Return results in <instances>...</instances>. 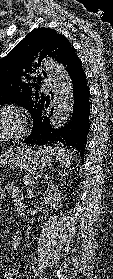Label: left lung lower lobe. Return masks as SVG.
<instances>
[{
  "instance_id": "0a47b994",
  "label": "left lung lower lobe",
  "mask_w": 113,
  "mask_h": 279,
  "mask_svg": "<svg viewBox=\"0 0 113 279\" xmlns=\"http://www.w3.org/2000/svg\"><path fill=\"white\" fill-rule=\"evenodd\" d=\"M68 72L73 85L74 106L70 121L54 129L50 125V118L45 109L49 106V97H44L33 113V128L24 143L31 145L60 144L71 147L81 159H84L87 144V134L90 123V92L86 82V75L82 69L81 60L71 50L62 63ZM52 113V112H51Z\"/></svg>"
}]
</instances>
